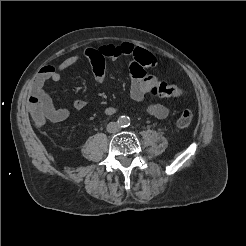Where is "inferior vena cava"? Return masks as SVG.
Masks as SVG:
<instances>
[{"instance_id": "602c4592", "label": "inferior vena cava", "mask_w": 246, "mask_h": 246, "mask_svg": "<svg viewBox=\"0 0 246 246\" xmlns=\"http://www.w3.org/2000/svg\"><path fill=\"white\" fill-rule=\"evenodd\" d=\"M120 130V125L117 124L116 122H110L108 125H107V131L109 133H116Z\"/></svg>"}]
</instances>
